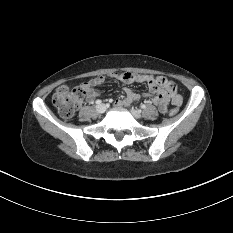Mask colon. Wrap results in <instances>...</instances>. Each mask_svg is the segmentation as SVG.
Wrapping results in <instances>:
<instances>
[{
	"mask_svg": "<svg viewBox=\"0 0 233 233\" xmlns=\"http://www.w3.org/2000/svg\"><path fill=\"white\" fill-rule=\"evenodd\" d=\"M86 94L87 89L84 85L74 88L62 86L54 93L52 101L59 114L63 118L68 119L72 117L81 106ZM177 112L178 108L175 106L170 110V115H175Z\"/></svg>",
	"mask_w": 233,
	"mask_h": 233,
	"instance_id": "colon-1",
	"label": "colon"
}]
</instances>
